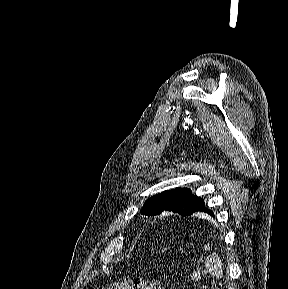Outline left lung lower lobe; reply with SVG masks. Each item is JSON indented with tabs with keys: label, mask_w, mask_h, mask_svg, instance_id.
<instances>
[{
	"label": "left lung lower lobe",
	"mask_w": 288,
	"mask_h": 289,
	"mask_svg": "<svg viewBox=\"0 0 288 289\" xmlns=\"http://www.w3.org/2000/svg\"><path fill=\"white\" fill-rule=\"evenodd\" d=\"M195 212L208 213V214H210L211 216L214 217V213L211 210H209L208 208H206V206L204 204V200L201 201V203L195 208V210L191 214H193Z\"/></svg>",
	"instance_id": "0a47b994"
}]
</instances>
